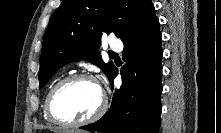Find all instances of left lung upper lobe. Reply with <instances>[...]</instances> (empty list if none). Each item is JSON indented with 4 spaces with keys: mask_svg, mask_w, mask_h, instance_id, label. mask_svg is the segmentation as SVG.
<instances>
[{
    "mask_svg": "<svg viewBox=\"0 0 221 133\" xmlns=\"http://www.w3.org/2000/svg\"><path fill=\"white\" fill-rule=\"evenodd\" d=\"M156 19L151 0H64L45 33L39 87L65 64L84 59L109 78L115 66L101 59L102 35L114 33L125 42Z\"/></svg>",
    "mask_w": 221,
    "mask_h": 133,
    "instance_id": "5c2ea615",
    "label": "left lung upper lobe"
}]
</instances>
